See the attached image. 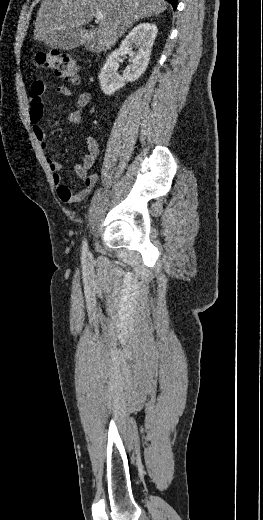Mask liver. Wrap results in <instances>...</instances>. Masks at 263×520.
<instances>
[{"label":"liver","mask_w":263,"mask_h":520,"mask_svg":"<svg viewBox=\"0 0 263 520\" xmlns=\"http://www.w3.org/2000/svg\"><path fill=\"white\" fill-rule=\"evenodd\" d=\"M166 9L165 0H42L34 38L48 45L55 33H71L89 24L96 12H102L105 17L99 20L98 28L91 25L80 44L92 52L106 51L135 22L159 15Z\"/></svg>","instance_id":"1"}]
</instances>
